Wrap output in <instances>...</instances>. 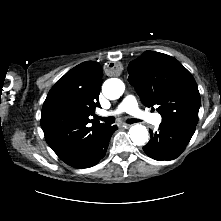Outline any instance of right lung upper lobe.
I'll return each mask as SVG.
<instances>
[{"instance_id": "cb5924a9", "label": "right lung upper lobe", "mask_w": 221, "mask_h": 221, "mask_svg": "<svg viewBox=\"0 0 221 221\" xmlns=\"http://www.w3.org/2000/svg\"><path fill=\"white\" fill-rule=\"evenodd\" d=\"M102 69L83 62L67 72L49 91L41 113L45 139L63 160L82 147L105 125L92 119L100 107Z\"/></svg>"}]
</instances>
